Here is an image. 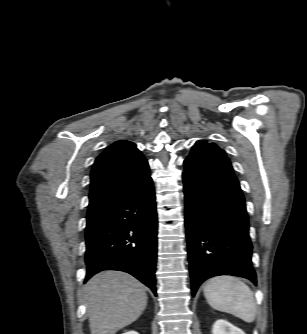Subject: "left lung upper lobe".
<instances>
[{"instance_id":"left-lung-upper-lobe-1","label":"left lung upper lobe","mask_w":307,"mask_h":334,"mask_svg":"<svg viewBox=\"0 0 307 334\" xmlns=\"http://www.w3.org/2000/svg\"><path fill=\"white\" fill-rule=\"evenodd\" d=\"M184 165H193L209 171L234 175L231 162L224 150L206 140H199L194 144L189 156L184 161Z\"/></svg>"}]
</instances>
